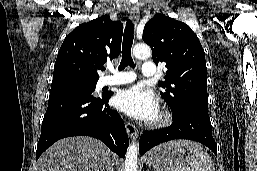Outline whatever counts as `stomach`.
<instances>
[{"instance_id": "0dacf381", "label": "stomach", "mask_w": 257, "mask_h": 171, "mask_svg": "<svg viewBox=\"0 0 257 171\" xmlns=\"http://www.w3.org/2000/svg\"><path fill=\"white\" fill-rule=\"evenodd\" d=\"M184 159L182 148L169 147L166 144L153 148L147 156V163L153 171H175Z\"/></svg>"}]
</instances>
